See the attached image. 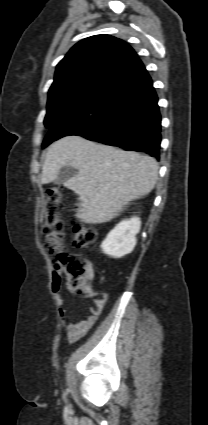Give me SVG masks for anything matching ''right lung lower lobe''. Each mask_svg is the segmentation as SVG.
Masks as SVG:
<instances>
[{"instance_id": "obj_1", "label": "right lung lower lobe", "mask_w": 208, "mask_h": 425, "mask_svg": "<svg viewBox=\"0 0 208 425\" xmlns=\"http://www.w3.org/2000/svg\"><path fill=\"white\" fill-rule=\"evenodd\" d=\"M157 102L151 77L138 61L92 103L58 118L46 139L53 142L78 135L159 159L161 116Z\"/></svg>"}]
</instances>
